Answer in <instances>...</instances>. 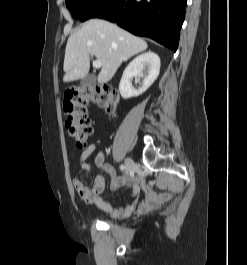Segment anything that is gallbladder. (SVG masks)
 I'll return each mask as SVG.
<instances>
[{
    "label": "gallbladder",
    "instance_id": "obj_1",
    "mask_svg": "<svg viewBox=\"0 0 247 265\" xmlns=\"http://www.w3.org/2000/svg\"><path fill=\"white\" fill-rule=\"evenodd\" d=\"M96 77L93 74L86 75L84 78L81 79V85L82 86H88L95 82Z\"/></svg>",
    "mask_w": 247,
    "mask_h": 265
}]
</instances>
